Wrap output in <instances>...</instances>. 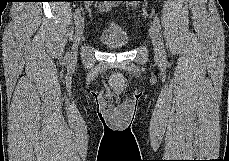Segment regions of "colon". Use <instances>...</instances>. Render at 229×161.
I'll use <instances>...</instances> for the list:
<instances>
[{
    "instance_id": "obj_1",
    "label": "colon",
    "mask_w": 229,
    "mask_h": 161,
    "mask_svg": "<svg viewBox=\"0 0 229 161\" xmlns=\"http://www.w3.org/2000/svg\"><path fill=\"white\" fill-rule=\"evenodd\" d=\"M127 1H130V6H135L136 3L141 0H127Z\"/></svg>"
}]
</instances>
